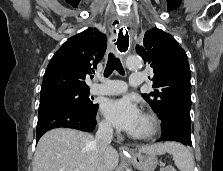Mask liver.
Segmentation results:
<instances>
[{"label":"liver","mask_w":223,"mask_h":171,"mask_svg":"<svg viewBox=\"0 0 223 171\" xmlns=\"http://www.w3.org/2000/svg\"><path fill=\"white\" fill-rule=\"evenodd\" d=\"M171 143L143 146L140 152L163 155L170 152ZM94 137L86 132L56 128L46 132L37 144L33 171H93L96 160ZM106 171H113L119 163L118 152L108 146L103 152Z\"/></svg>","instance_id":"6515ba94"}]
</instances>
